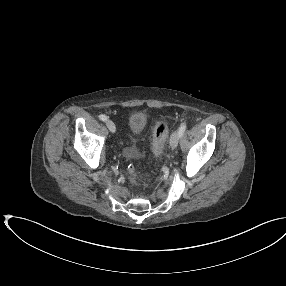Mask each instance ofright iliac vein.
<instances>
[{
    "instance_id": "obj_1",
    "label": "right iliac vein",
    "mask_w": 286,
    "mask_h": 286,
    "mask_svg": "<svg viewBox=\"0 0 286 286\" xmlns=\"http://www.w3.org/2000/svg\"><path fill=\"white\" fill-rule=\"evenodd\" d=\"M106 125H107L108 129L110 130V132L115 133L116 127H115V124L112 120H106Z\"/></svg>"
}]
</instances>
